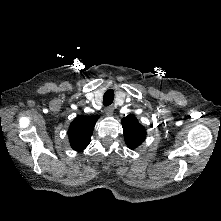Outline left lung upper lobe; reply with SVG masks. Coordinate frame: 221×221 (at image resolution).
<instances>
[{
    "label": "left lung upper lobe",
    "mask_w": 221,
    "mask_h": 221,
    "mask_svg": "<svg viewBox=\"0 0 221 221\" xmlns=\"http://www.w3.org/2000/svg\"><path fill=\"white\" fill-rule=\"evenodd\" d=\"M124 140L130 149L137 148L146 137V129L138 122L137 118L130 114L122 120Z\"/></svg>",
    "instance_id": "obj_1"
}]
</instances>
